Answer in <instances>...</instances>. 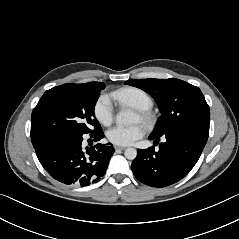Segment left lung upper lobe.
I'll list each match as a JSON object with an SVG mask.
<instances>
[{
	"label": "left lung upper lobe",
	"instance_id": "obj_1",
	"mask_svg": "<svg viewBox=\"0 0 239 239\" xmlns=\"http://www.w3.org/2000/svg\"><path fill=\"white\" fill-rule=\"evenodd\" d=\"M125 84L150 94L162 113L152 135L177 130L209 134L210 110L201 90L185 81L170 79L129 80Z\"/></svg>",
	"mask_w": 239,
	"mask_h": 239
}]
</instances>
